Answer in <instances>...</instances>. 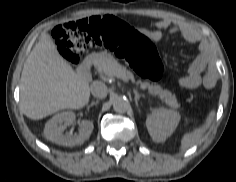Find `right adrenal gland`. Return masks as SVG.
<instances>
[{"label":"right adrenal gland","instance_id":"obj_1","mask_svg":"<svg viewBox=\"0 0 236 182\" xmlns=\"http://www.w3.org/2000/svg\"><path fill=\"white\" fill-rule=\"evenodd\" d=\"M98 103H99L98 100H97V101H93V102L90 104V106H88V108H90V107H92V106H94V105H98Z\"/></svg>","mask_w":236,"mask_h":182}]
</instances>
